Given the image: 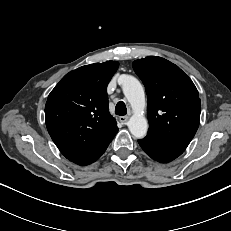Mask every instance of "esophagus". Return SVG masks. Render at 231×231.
<instances>
[{
    "instance_id": "esophagus-1",
    "label": "esophagus",
    "mask_w": 231,
    "mask_h": 231,
    "mask_svg": "<svg viewBox=\"0 0 231 231\" xmlns=\"http://www.w3.org/2000/svg\"><path fill=\"white\" fill-rule=\"evenodd\" d=\"M129 117L128 116H121L119 118V121L122 123V124H126V122L128 121Z\"/></svg>"
}]
</instances>
